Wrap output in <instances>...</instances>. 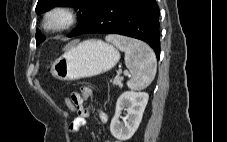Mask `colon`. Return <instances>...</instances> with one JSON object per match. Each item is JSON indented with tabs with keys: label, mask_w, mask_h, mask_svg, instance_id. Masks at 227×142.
<instances>
[{
	"label": "colon",
	"mask_w": 227,
	"mask_h": 142,
	"mask_svg": "<svg viewBox=\"0 0 227 142\" xmlns=\"http://www.w3.org/2000/svg\"><path fill=\"white\" fill-rule=\"evenodd\" d=\"M65 104H66L67 108H68L71 112L78 114V113H77V108H76V106H75V104H74V102L72 101L71 98H69V97L66 98V99H65Z\"/></svg>",
	"instance_id": "1"
}]
</instances>
